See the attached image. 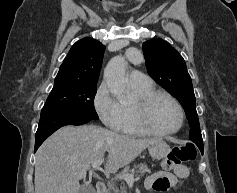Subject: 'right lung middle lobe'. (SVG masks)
I'll return each mask as SVG.
<instances>
[{"mask_svg": "<svg viewBox=\"0 0 237 193\" xmlns=\"http://www.w3.org/2000/svg\"><path fill=\"white\" fill-rule=\"evenodd\" d=\"M96 89V83L55 78L54 87L42 110L97 120L94 108Z\"/></svg>", "mask_w": 237, "mask_h": 193, "instance_id": "dd1d6c3e", "label": "right lung middle lobe"}]
</instances>
